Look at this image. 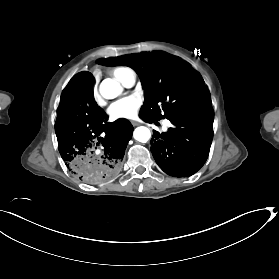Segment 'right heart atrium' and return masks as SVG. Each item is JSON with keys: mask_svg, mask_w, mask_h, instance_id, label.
I'll return each mask as SVG.
<instances>
[{"mask_svg": "<svg viewBox=\"0 0 279 279\" xmlns=\"http://www.w3.org/2000/svg\"><path fill=\"white\" fill-rule=\"evenodd\" d=\"M93 96H94L95 99L98 98V92H97L96 88H94V90H93Z\"/></svg>", "mask_w": 279, "mask_h": 279, "instance_id": "obj_1", "label": "right heart atrium"}]
</instances>
